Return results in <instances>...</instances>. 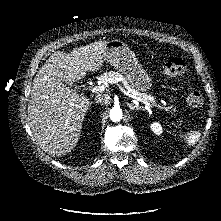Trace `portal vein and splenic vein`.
Listing matches in <instances>:
<instances>
[{"mask_svg": "<svg viewBox=\"0 0 221 221\" xmlns=\"http://www.w3.org/2000/svg\"><path fill=\"white\" fill-rule=\"evenodd\" d=\"M119 88L121 89V91H122L125 95L131 97L132 99H135L136 102H137V101L142 102L143 104H145L147 107H150V108H152V107L162 108L160 105L151 104L150 102H148V101L142 99L141 97L138 96L137 93H131L130 91H126V90H124L122 87H119ZM104 89H105L104 85H100V86H96V87L92 88V92H94V93H96V92H101V91H104Z\"/></svg>", "mask_w": 221, "mask_h": 221, "instance_id": "1", "label": "portal vein and splenic vein"}]
</instances>
